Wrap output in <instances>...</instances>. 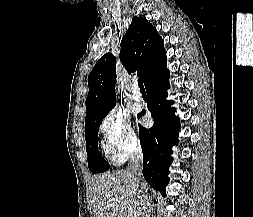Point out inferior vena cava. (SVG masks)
Returning <instances> with one entry per match:
<instances>
[{
    "instance_id": "1",
    "label": "inferior vena cava",
    "mask_w": 253,
    "mask_h": 217,
    "mask_svg": "<svg viewBox=\"0 0 253 217\" xmlns=\"http://www.w3.org/2000/svg\"><path fill=\"white\" fill-rule=\"evenodd\" d=\"M142 162H143V156H142V150L140 146H136L131 154H130V160L128 163L127 171L131 173V176L135 182V193L137 196H139V205L142 207V217H146L147 215V208H146V202H145V189L146 186L141 181L140 177L142 176Z\"/></svg>"
}]
</instances>
